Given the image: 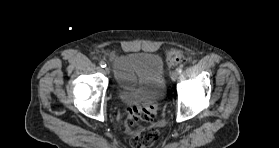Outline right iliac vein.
I'll return each instance as SVG.
<instances>
[{
	"label": "right iliac vein",
	"mask_w": 279,
	"mask_h": 148,
	"mask_svg": "<svg viewBox=\"0 0 279 148\" xmlns=\"http://www.w3.org/2000/svg\"><path fill=\"white\" fill-rule=\"evenodd\" d=\"M104 73H105V74H109V73H110V69H109L108 67H105V68H104Z\"/></svg>",
	"instance_id": "1"
}]
</instances>
